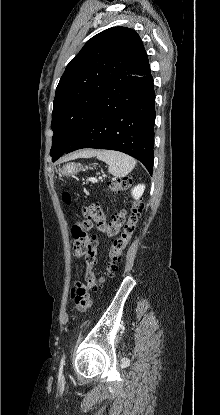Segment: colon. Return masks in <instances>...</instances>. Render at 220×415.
Wrapping results in <instances>:
<instances>
[{
	"label": "colon",
	"instance_id": "obj_1",
	"mask_svg": "<svg viewBox=\"0 0 220 415\" xmlns=\"http://www.w3.org/2000/svg\"><path fill=\"white\" fill-rule=\"evenodd\" d=\"M131 183V179L122 178L111 182L109 187L113 191H121L127 189ZM67 200H69L68 197ZM140 213V203L133 207L128 217L125 212L120 211L115 213L110 220L106 219L98 204H90L82 208V218L72 226L73 255L77 259H84L86 266L85 282H76L71 292V301L79 312L84 313L90 308L89 291L97 289L103 281V277H96L93 272L96 260V242L91 235L92 228L96 227L112 239L105 271L109 275L128 246L137 228ZM120 233L121 235L118 237Z\"/></svg>",
	"mask_w": 220,
	"mask_h": 415
}]
</instances>
